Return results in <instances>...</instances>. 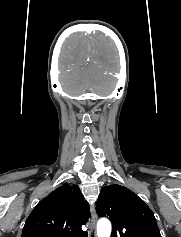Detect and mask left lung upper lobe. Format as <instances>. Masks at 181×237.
I'll use <instances>...</instances> for the list:
<instances>
[{
  "instance_id": "1",
  "label": "left lung upper lobe",
  "mask_w": 181,
  "mask_h": 237,
  "mask_svg": "<svg viewBox=\"0 0 181 237\" xmlns=\"http://www.w3.org/2000/svg\"><path fill=\"white\" fill-rule=\"evenodd\" d=\"M96 211L100 217L111 220V237H161L151 209L124 186L103 187L96 202Z\"/></svg>"
}]
</instances>
